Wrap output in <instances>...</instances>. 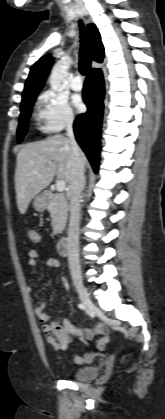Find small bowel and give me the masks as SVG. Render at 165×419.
<instances>
[{
	"instance_id": "obj_1",
	"label": "small bowel",
	"mask_w": 165,
	"mask_h": 419,
	"mask_svg": "<svg viewBox=\"0 0 165 419\" xmlns=\"http://www.w3.org/2000/svg\"><path fill=\"white\" fill-rule=\"evenodd\" d=\"M39 237V236H38ZM40 240V238H39ZM38 240V242H39ZM29 255V259H28V264L31 268H36L37 264H38V259H39V254L37 252V250L35 249H31L28 253ZM46 265L48 267L51 268H61L62 267V263L59 259L56 258H48L46 260ZM47 302L44 301L42 303H40L39 305H37L34 308V312L37 315V317L39 318V320L42 323H47L50 320V316L49 314L45 311ZM65 325H68L67 322H65ZM69 335L68 337L63 340V341H59L56 340L55 338L51 337V336H46V341L53 347L54 351L56 352H61V351H65L68 348L69 343L73 340V339H79L82 341H89L92 340L97 334L101 333V330L99 327L94 328L93 330H83V329H75L72 327H67L66 328ZM108 338L107 336H102L98 343L97 346L98 348H103L104 345L106 344ZM73 360L76 364L78 365H85L88 363H91L94 359V354L93 353H83V354H72Z\"/></svg>"
}]
</instances>
